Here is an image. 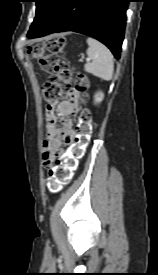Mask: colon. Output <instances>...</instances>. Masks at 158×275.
<instances>
[{
	"instance_id": "5ec220e1",
	"label": "colon",
	"mask_w": 158,
	"mask_h": 275,
	"mask_svg": "<svg viewBox=\"0 0 158 275\" xmlns=\"http://www.w3.org/2000/svg\"><path fill=\"white\" fill-rule=\"evenodd\" d=\"M65 47L63 36H52L45 41H34L26 47L27 54L38 60L41 69L50 75L43 86V95L48 104L57 102L68 90L77 92L87 101L89 82L79 72L73 73L69 61L62 56ZM71 80L73 84L71 85ZM78 136L69 154L61 156L54 167L50 168L45 178V185L51 192L60 191L67 185L82 157L92 134L90 112L84 109L78 121Z\"/></svg>"
}]
</instances>
